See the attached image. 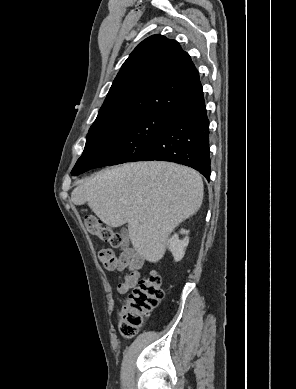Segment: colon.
<instances>
[{
	"mask_svg": "<svg viewBox=\"0 0 296 389\" xmlns=\"http://www.w3.org/2000/svg\"><path fill=\"white\" fill-rule=\"evenodd\" d=\"M84 223L88 232L97 236L103 243L112 247H119L124 243L123 236L116 229L104 224L94 215L86 214ZM163 295L162 280L158 273L151 272L141 279L125 299L120 312L121 334L126 338L134 337L148 314L158 306Z\"/></svg>",
	"mask_w": 296,
	"mask_h": 389,
	"instance_id": "obj_1",
	"label": "colon"
}]
</instances>
